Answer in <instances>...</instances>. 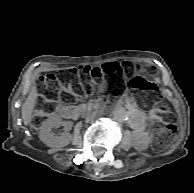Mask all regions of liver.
I'll return each instance as SVG.
<instances>
[{
  "label": "liver",
  "mask_w": 194,
  "mask_h": 193,
  "mask_svg": "<svg viewBox=\"0 0 194 193\" xmlns=\"http://www.w3.org/2000/svg\"><path fill=\"white\" fill-rule=\"evenodd\" d=\"M38 93L36 87L32 86L25 102L22 105L21 108V114H22V119L25 125H29V123L32 120V113L33 109L36 105V99H37Z\"/></svg>",
  "instance_id": "6515ba94"
}]
</instances>
